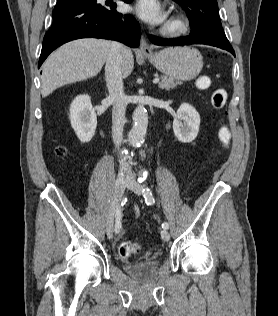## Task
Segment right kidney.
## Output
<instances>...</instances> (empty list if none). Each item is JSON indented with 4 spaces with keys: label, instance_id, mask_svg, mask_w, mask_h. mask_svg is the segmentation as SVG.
I'll list each match as a JSON object with an SVG mask.
<instances>
[{
    "label": "right kidney",
    "instance_id": "1",
    "mask_svg": "<svg viewBox=\"0 0 278 316\" xmlns=\"http://www.w3.org/2000/svg\"><path fill=\"white\" fill-rule=\"evenodd\" d=\"M70 121L82 143L89 142L97 127V116L88 95L77 96L70 106Z\"/></svg>",
    "mask_w": 278,
    "mask_h": 316
}]
</instances>
